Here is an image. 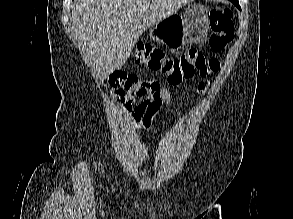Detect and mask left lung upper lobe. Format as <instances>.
Wrapping results in <instances>:
<instances>
[{
  "label": "left lung upper lobe",
  "mask_w": 293,
  "mask_h": 219,
  "mask_svg": "<svg viewBox=\"0 0 293 219\" xmlns=\"http://www.w3.org/2000/svg\"><path fill=\"white\" fill-rule=\"evenodd\" d=\"M234 5H239L238 0H230Z\"/></svg>",
  "instance_id": "1"
}]
</instances>
